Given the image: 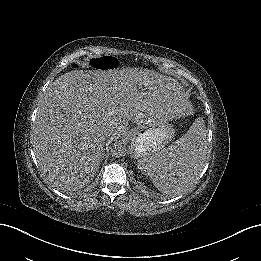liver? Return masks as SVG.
<instances>
[{"mask_svg": "<svg viewBox=\"0 0 261 261\" xmlns=\"http://www.w3.org/2000/svg\"><path fill=\"white\" fill-rule=\"evenodd\" d=\"M144 102L110 73L75 71L63 78L39 103L34 138L39 166L61 181L80 180L100 163L109 133L124 129L116 115L122 107L132 108L141 123L164 105Z\"/></svg>", "mask_w": 261, "mask_h": 261, "instance_id": "liver-1", "label": "liver"}]
</instances>
